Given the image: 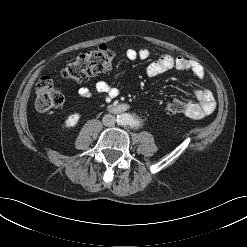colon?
Listing matches in <instances>:
<instances>
[{"label": "colon", "instance_id": "5ec220e1", "mask_svg": "<svg viewBox=\"0 0 247 247\" xmlns=\"http://www.w3.org/2000/svg\"><path fill=\"white\" fill-rule=\"evenodd\" d=\"M114 52L107 46L80 54L62 70V76L75 82H84L94 75L108 71L112 67ZM63 93L54 85L50 75L42 76L36 84L35 106L39 111H47L64 103ZM189 103L171 99L166 104L169 115L186 113Z\"/></svg>", "mask_w": 247, "mask_h": 247}]
</instances>
